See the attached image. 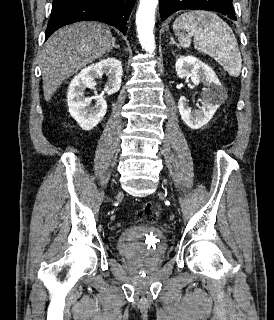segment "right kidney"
<instances>
[{"instance_id":"1","label":"right kidney","mask_w":274,"mask_h":320,"mask_svg":"<svg viewBox=\"0 0 274 320\" xmlns=\"http://www.w3.org/2000/svg\"><path fill=\"white\" fill-rule=\"evenodd\" d=\"M102 74L108 76V82L104 88L105 94L107 96L116 94L121 88L123 76L122 64L117 58H106L97 64H91L76 74L69 84L67 92L69 114L82 130H93L107 112V102L103 94L98 98H85L84 96L86 88H94V78ZM92 100H96L95 106H91Z\"/></svg>"}]
</instances>
